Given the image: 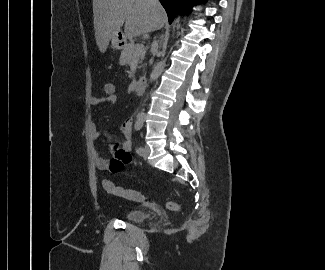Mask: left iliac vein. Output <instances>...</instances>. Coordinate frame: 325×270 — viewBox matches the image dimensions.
<instances>
[{
  "mask_svg": "<svg viewBox=\"0 0 325 270\" xmlns=\"http://www.w3.org/2000/svg\"><path fill=\"white\" fill-rule=\"evenodd\" d=\"M150 153V148L148 146L143 147V152L141 153V156L146 159Z\"/></svg>",
  "mask_w": 325,
  "mask_h": 270,
  "instance_id": "1",
  "label": "left iliac vein"
}]
</instances>
